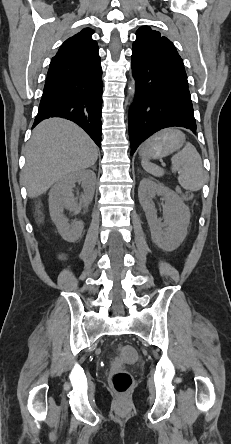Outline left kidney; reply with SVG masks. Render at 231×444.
Segmentation results:
<instances>
[{
    "mask_svg": "<svg viewBox=\"0 0 231 444\" xmlns=\"http://www.w3.org/2000/svg\"><path fill=\"white\" fill-rule=\"evenodd\" d=\"M155 195L162 196L165 200V224L158 220L155 206L151 202ZM138 197L146 214L153 242L164 251L177 249L187 236L190 221V212L183 200L170 188L149 178L141 180ZM163 226L167 227L162 229Z\"/></svg>",
    "mask_w": 231,
    "mask_h": 444,
    "instance_id": "5707ae66",
    "label": "left kidney"
}]
</instances>
